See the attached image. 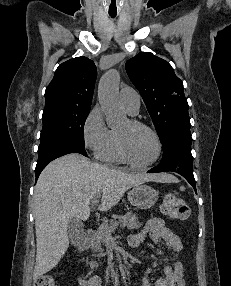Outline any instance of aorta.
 Segmentation results:
<instances>
[{"instance_id":"1","label":"aorta","mask_w":231,"mask_h":286,"mask_svg":"<svg viewBox=\"0 0 231 286\" xmlns=\"http://www.w3.org/2000/svg\"><path fill=\"white\" fill-rule=\"evenodd\" d=\"M119 82V72L111 69L102 76L98 85L99 103L110 128L119 126L126 120V114L122 110L118 99Z\"/></svg>"}]
</instances>
